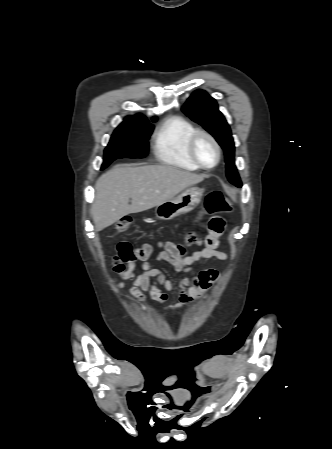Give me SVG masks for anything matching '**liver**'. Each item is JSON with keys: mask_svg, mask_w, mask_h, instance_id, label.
Returning a JSON list of instances; mask_svg holds the SVG:
<instances>
[{"mask_svg": "<svg viewBox=\"0 0 332 449\" xmlns=\"http://www.w3.org/2000/svg\"><path fill=\"white\" fill-rule=\"evenodd\" d=\"M204 178L169 165H116L96 182L91 206L95 228L101 231L127 214L158 206Z\"/></svg>", "mask_w": 332, "mask_h": 449, "instance_id": "liver-1", "label": "liver"}]
</instances>
